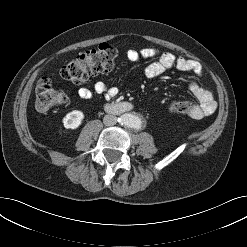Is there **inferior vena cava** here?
I'll list each match as a JSON object with an SVG mask.
<instances>
[{
    "label": "inferior vena cava",
    "instance_id": "1",
    "mask_svg": "<svg viewBox=\"0 0 247 247\" xmlns=\"http://www.w3.org/2000/svg\"><path fill=\"white\" fill-rule=\"evenodd\" d=\"M103 123L106 126H113L117 123V117L114 115H110V114L105 115L103 118Z\"/></svg>",
    "mask_w": 247,
    "mask_h": 247
}]
</instances>
